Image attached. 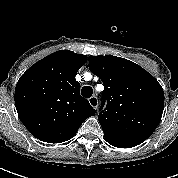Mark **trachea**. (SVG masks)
Segmentation results:
<instances>
[{"label": "trachea", "mask_w": 178, "mask_h": 178, "mask_svg": "<svg viewBox=\"0 0 178 178\" xmlns=\"http://www.w3.org/2000/svg\"><path fill=\"white\" fill-rule=\"evenodd\" d=\"M93 94V89L90 86H84L81 90V95L85 98H90Z\"/></svg>", "instance_id": "trachea-1"}]
</instances>
